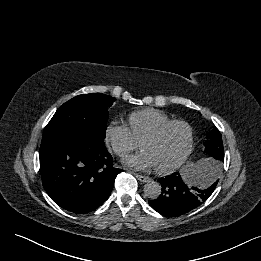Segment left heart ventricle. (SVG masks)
Here are the masks:
<instances>
[{
    "mask_svg": "<svg viewBox=\"0 0 261 261\" xmlns=\"http://www.w3.org/2000/svg\"><path fill=\"white\" fill-rule=\"evenodd\" d=\"M188 144V131L183 125L170 127L158 140L141 145L148 152L156 168H164L175 163L184 153Z\"/></svg>",
    "mask_w": 261,
    "mask_h": 261,
    "instance_id": "b2bd125f",
    "label": "left heart ventricle"
}]
</instances>
